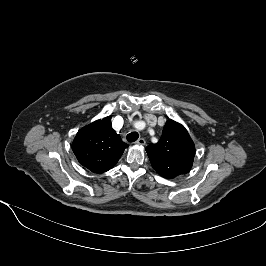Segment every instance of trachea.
Masks as SVG:
<instances>
[{
	"instance_id": "obj_1",
	"label": "trachea",
	"mask_w": 266,
	"mask_h": 266,
	"mask_svg": "<svg viewBox=\"0 0 266 266\" xmlns=\"http://www.w3.org/2000/svg\"><path fill=\"white\" fill-rule=\"evenodd\" d=\"M139 138V134L137 132H131L126 136L128 142H135Z\"/></svg>"
}]
</instances>
